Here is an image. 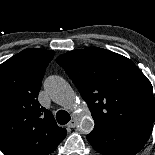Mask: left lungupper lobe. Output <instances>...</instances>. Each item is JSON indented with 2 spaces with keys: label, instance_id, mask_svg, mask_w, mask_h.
Wrapping results in <instances>:
<instances>
[{
  "label": "left lung upper lobe",
  "instance_id": "1",
  "mask_svg": "<svg viewBox=\"0 0 155 155\" xmlns=\"http://www.w3.org/2000/svg\"><path fill=\"white\" fill-rule=\"evenodd\" d=\"M56 62L88 104L95 126L154 123L153 87L128 58L96 47L69 51Z\"/></svg>",
  "mask_w": 155,
  "mask_h": 155
}]
</instances>
